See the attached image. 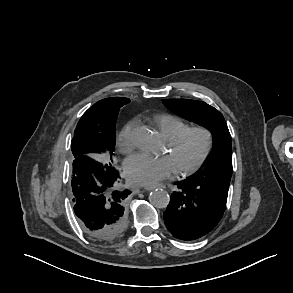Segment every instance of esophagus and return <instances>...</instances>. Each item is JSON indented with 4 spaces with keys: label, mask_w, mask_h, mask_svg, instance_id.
<instances>
[{
    "label": "esophagus",
    "mask_w": 293,
    "mask_h": 293,
    "mask_svg": "<svg viewBox=\"0 0 293 293\" xmlns=\"http://www.w3.org/2000/svg\"><path fill=\"white\" fill-rule=\"evenodd\" d=\"M163 188H165L164 186H162ZM155 187H144V188H138L137 189V193H140V192H145V191H151L153 190Z\"/></svg>",
    "instance_id": "obj_1"
}]
</instances>
